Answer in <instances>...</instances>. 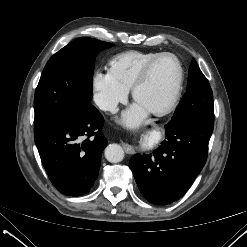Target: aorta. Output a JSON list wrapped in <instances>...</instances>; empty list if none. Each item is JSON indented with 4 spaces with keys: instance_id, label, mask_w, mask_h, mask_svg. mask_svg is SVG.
<instances>
[{
    "instance_id": "1",
    "label": "aorta",
    "mask_w": 247,
    "mask_h": 247,
    "mask_svg": "<svg viewBox=\"0 0 247 247\" xmlns=\"http://www.w3.org/2000/svg\"><path fill=\"white\" fill-rule=\"evenodd\" d=\"M105 158L111 163L121 162L124 158V150L118 144H109L105 148Z\"/></svg>"
}]
</instances>
